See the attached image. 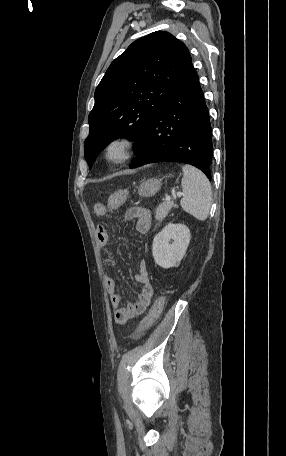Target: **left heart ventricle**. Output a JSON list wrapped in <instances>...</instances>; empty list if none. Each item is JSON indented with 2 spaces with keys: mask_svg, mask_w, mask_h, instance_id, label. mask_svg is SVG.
Masks as SVG:
<instances>
[{
  "mask_svg": "<svg viewBox=\"0 0 286 456\" xmlns=\"http://www.w3.org/2000/svg\"><path fill=\"white\" fill-rule=\"evenodd\" d=\"M122 155V148L119 145L114 146L110 151V157L113 159L119 158Z\"/></svg>",
  "mask_w": 286,
  "mask_h": 456,
  "instance_id": "left-heart-ventricle-1",
  "label": "left heart ventricle"
}]
</instances>
